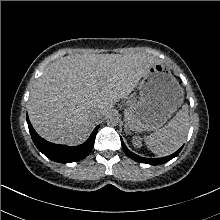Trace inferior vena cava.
Masks as SVG:
<instances>
[{"mask_svg":"<svg viewBox=\"0 0 220 220\" xmlns=\"http://www.w3.org/2000/svg\"><path fill=\"white\" fill-rule=\"evenodd\" d=\"M90 117L92 119L101 118V113L98 110L92 111L91 114H90Z\"/></svg>","mask_w":220,"mask_h":220,"instance_id":"inferior-vena-cava-1","label":"inferior vena cava"}]
</instances>
